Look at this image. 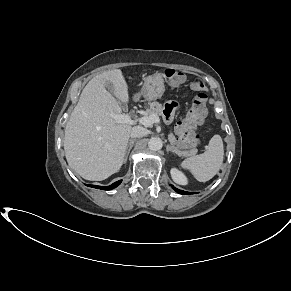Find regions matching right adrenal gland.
<instances>
[{
	"label": "right adrenal gland",
	"instance_id": "right-adrenal-gland-1",
	"mask_svg": "<svg viewBox=\"0 0 291 291\" xmlns=\"http://www.w3.org/2000/svg\"><path fill=\"white\" fill-rule=\"evenodd\" d=\"M134 142H135V139H130L129 142H128V145H127V151H126V156H125V159H124V162L126 163L127 161V158H128V155L134 145Z\"/></svg>",
	"mask_w": 291,
	"mask_h": 291
}]
</instances>
